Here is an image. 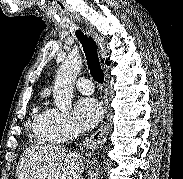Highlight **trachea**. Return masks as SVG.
I'll return each instance as SVG.
<instances>
[{
  "label": "trachea",
  "instance_id": "3493384b",
  "mask_svg": "<svg viewBox=\"0 0 183 179\" xmlns=\"http://www.w3.org/2000/svg\"><path fill=\"white\" fill-rule=\"evenodd\" d=\"M75 35L82 44L88 68L93 79L98 83H103L104 73L100 66L97 47L94 40L91 37L84 35V33L80 30H76Z\"/></svg>",
  "mask_w": 183,
  "mask_h": 179
}]
</instances>
